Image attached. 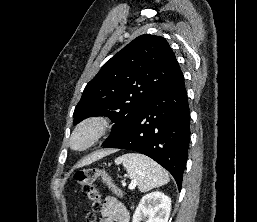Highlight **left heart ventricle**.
<instances>
[{
  "instance_id": "b2bd125f",
  "label": "left heart ventricle",
  "mask_w": 257,
  "mask_h": 222,
  "mask_svg": "<svg viewBox=\"0 0 257 222\" xmlns=\"http://www.w3.org/2000/svg\"><path fill=\"white\" fill-rule=\"evenodd\" d=\"M92 137V132L88 129L80 131L75 139H74V145L76 147H82L86 145Z\"/></svg>"
}]
</instances>
